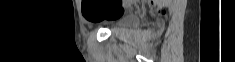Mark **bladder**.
I'll return each instance as SVG.
<instances>
[{
  "instance_id": "obj_1",
  "label": "bladder",
  "mask_w": 235,
  "mask_h": 62,
  "mask_svg": "<svg viewBox=\"0 0 235 62\" xmlns=\"http://www.w3.org/2000/svg\"><path fill=\"white\" fill-rule=\"evenodd\" d=\"M137 21L134 14H125L119 17L115 22V27H127L133 25Z\"/></svg>"
}]
</instances>
